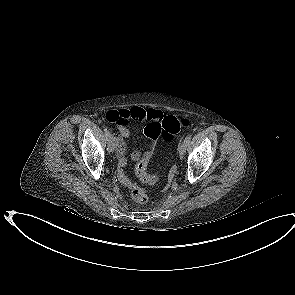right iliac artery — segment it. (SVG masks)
<instances>
[{
    "mask_svg": "<svg viewBox=\"0 0 295 295\" xmlns=\"http://www.w3.org/2000/svg\"><path fill=\"white\" fill-rule=\"evenodd\" d=\"M104 132L107 138H109L111 136L109 130L107 129V127H104Z\"/></svg>",
    "mask_w": 295,
    "mask_h": 295,
    "instance_id": "1",
    "label": "right iliac artery"
}]
</instances>
